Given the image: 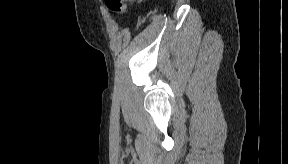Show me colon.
<instances>
[{
    "mask_svg": "<svg viewBox=\"0 0 288 164\" xmlns=\"http://www.w3.org/2000/svg\"><path fill=\"white\" fill-rule=\"evenodd\" d=\"M107 6L115 12L123 13L127 9L126 0H107Z\"/></svg>",
    "mask_w": 288,
    "mask_h": 164,
    "instance_id": "colon-1",
    "label": "colon"
}]
</instances>
